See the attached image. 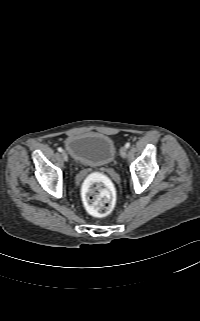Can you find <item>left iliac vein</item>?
I'll list each match as a JSON object with an SVG mask.
<instances>
[{
	"label": "left iliac vein",
	"instance_id": "4c4485c4",
	"mask_svg": "<svg viewBox=\"0 0 200 321\" xmlns=\"http://www.w3.org/2000/svg\"><path fill=\"white\" fill-rule=\"evenodd\" d=\"M120 155L125 158L127 156V148L124 146V147H121L120 149Z\"/></svg>",
	"mask_w": 200,
	"mask_h": 321
}]
</instances>
